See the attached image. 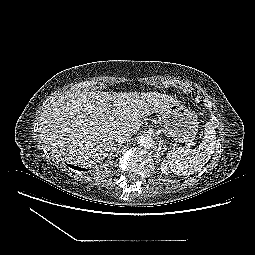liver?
Here are the masks:
<instances>
[{"instance_id":"obj_1","label":"liver","mask_w":255,"mask_h":255,"mask_svg":"<svg viewBox=\"0 0 255 255\" xmlns=\"http://www.w3.org/2000/svg\"><path fill=\"white\" fill-rule=\"evenodd\" d=\"M173 101L158 92H67L44 110L39 137L53 157L92 165L107 157L118 131L137 132L144 117Z\"/></svg>"}]
</instances>
